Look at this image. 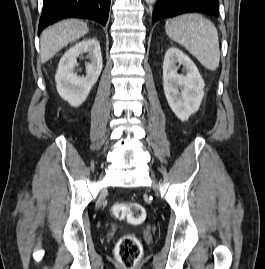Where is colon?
<instances>
[{
  "mask_svg": "<svg viewBox=\"0 0 265 269\" xmlns=\"http://www.w3.org/2000/svg\"><path fill=\"white\" fill-rule=\"evenodd\" d=\"M115 217L130 224L141 223L145 218V208L137 202H116L112 206ZM118 261L126 269H134L141 258L142 248L139 240L131 234L122 236L115 247Z\"/></svg>",
  "mask_w": 265,
  "mask_h": 269,
  "instance_id": "5ec220e1",
  "label": "colon"
}]
</instances>
